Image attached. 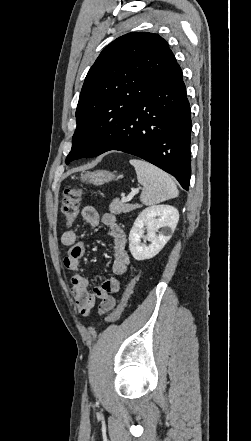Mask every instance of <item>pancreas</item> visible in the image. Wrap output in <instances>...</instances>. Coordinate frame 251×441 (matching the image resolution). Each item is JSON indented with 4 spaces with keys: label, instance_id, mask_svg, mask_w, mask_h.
<instances>
[{
    "label": "pancreas",
    "instance_id": "obj_1",
    "mask_svg": "<svg viewBox=\"0 0 251 441\" xmlns=\"http://www.w3.org/2000/svg\"><path fill=\"white\" fill-rule=\"evenodd\" d=\"M138 208H140L139 204H125L119 199H114L109 206L110 212L116 215L127 213Z\"/></svg>",
    "mask_w": 251,
    "mask_h": 441
}]
</instances>
